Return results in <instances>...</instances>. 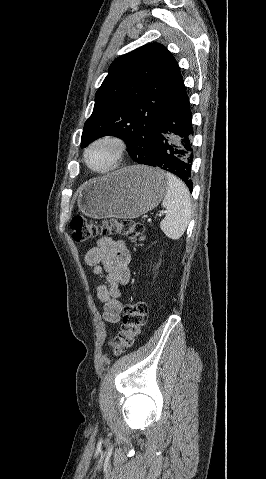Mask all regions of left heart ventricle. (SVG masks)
<instances>
[{"label":"left heart ventricle","mask_w":266,"mask_h":479,"mask_svg":"<svg viewBox=\"0 0 266 479\" xmlns=\"http://www.w3.org/2000/svg\"><path fill=\"white\" fill-rule=\"evenodd\" d=\"M114 151L109 145L96 147L89 155L91 165L98 169L107 168L113 159Z\"/></svg>","instance_id":"1"}]
</instances>
